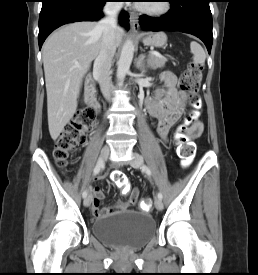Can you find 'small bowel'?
I'll list each match as a JSON object with an SVG mask.
<instances>
[{
    "mask_svg": "<svg viewBox=\"0 0 258 275\" xmlns=\"http://www.w3.org/2000/svg\"><path fill=\"white\" fill-rule=\"evenodd\" d=\"M161 80L164 86L157 89L155 96L147 100L146 103L150 116L157 121L156 132L158 136L167 141L170 130L182 116L186 95L177 90V79L171 72H162ZM202 130L203 123L196 121L188 130L186 137L188 139L197 138ZM138 196L139 191L135 188L131 191L128 200L118 201L114 205L102 209L100 203L104 197V191L101 187H95L91 195L92 213L95 217H103L118 211H127L136 204Z\"/></svg>",
    "mask_w": 258,
    "mask_h": 275,
    "instance_id": "c3829d8e",
    "label": "small bowel"
}]
</instances>
